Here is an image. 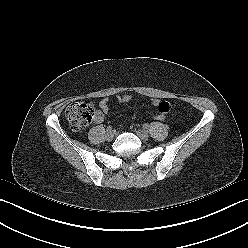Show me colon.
<instances>
[{"instance_id": "obj_1", "label": "colon", "mask_w": 248, "mask_h": 248, "mask_svg": "<svg viewBox=\"0 0 248 248\" xmlns=\"http://www.w3.org/2000/svg\"><path fill=\"white\" fill-rule=\"evenodd\" d=\"M94 112V104L91 101L86 100L68 105L65 115L73 131H82L91 123ZM154 120L157 122H164L165 116L163 114L155 115Z\"/></svg>"}]
</instances>
